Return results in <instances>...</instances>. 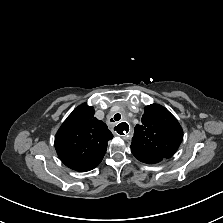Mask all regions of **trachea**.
Masks as SVG:
<instances>
[{
    "mask_svg": "<svg viewBox=\"0 0 223 223\" xmlns=\"http://www.w3.org/2000/svg\"><path fill=\"white\" fill-rule=\"evenodd\" d=\"M120 119H121V115L119 113H117V114L114 115V120L115 121H119ZM111 121H113V119H111ZM114 130H115V128H114Z\"/></svg>",
    "mask_w": 223,
    "mask_h": 223,
    "instance_id": "1",
    "label": "trachea"
}]
</instances>
